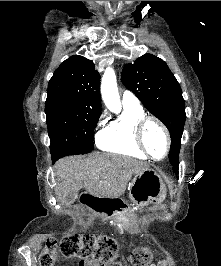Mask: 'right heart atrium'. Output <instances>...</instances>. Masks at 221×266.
<instances>
[{
	"label": "right heart atrium",
	"mask_w": 221,
	"mask_h": 266,
	"mask_svg": "<svg viewBox=\"0 0 221 266\" xmlns=\"http://www.w3.org/2000/svg\"><path fill=\"white\" fill-rule=\"evenodd\" d=\"M104 116H105V114H104V113H103V114H101V116H100V118H99V121H98V124H100V123L102 122V120H103Z\"/></svg>",
	"instance_id": "obj_1"
}]
</instances>
